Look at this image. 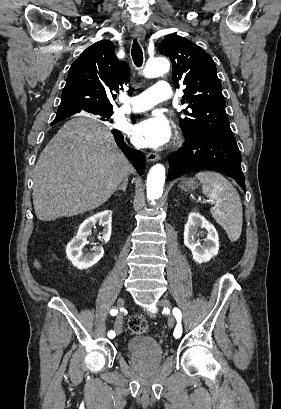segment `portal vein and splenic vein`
<instances>
[{
	"label": "portal vein and splenic vein",
	"instance_id": "1",
	"mask_svg": "<svg viewBox=\"0 0 281 409\" xmlns=\"http://www.w3.org/2000/svg\"><path fill=\"white\" fill-rule=\"evenodd\" d=\"M200 201H203V198H200Z\"/></svg>",
	"mask_w": 281,
	"mask_h": 409
}]
</instances>
